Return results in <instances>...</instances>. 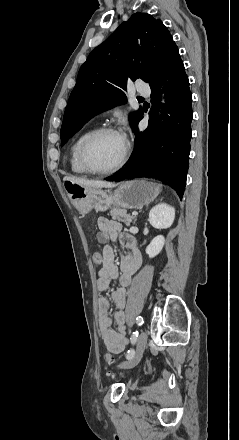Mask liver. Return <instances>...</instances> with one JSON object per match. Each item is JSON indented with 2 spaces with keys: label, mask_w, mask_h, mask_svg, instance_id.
Wrapping results in <instances>:
<instances>
[{
  "label": "liver",
  "mask_w": 239,
  "mask_h": 440,
  "mask_svg": "<svg viewBox=\"0 0 239 440\" xmlns=\"http://www.w3.org/2000/svg\"><path fill=\"white\" fill-rule=\"evenodd\" d=\"M64 182H72V184H79L81 188H115L117 184H110V182H97V180H83V178H69L65 176Z\"/></svg>",
  "instance_id": "6515ba94"
}]
</instances>
